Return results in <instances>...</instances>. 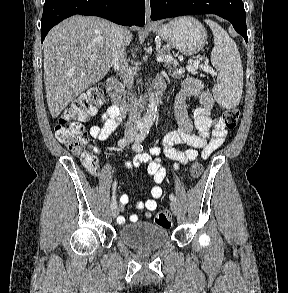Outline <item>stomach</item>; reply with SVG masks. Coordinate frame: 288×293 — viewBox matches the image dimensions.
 Wrapping results in <instances>:
<instances>
[{
  "mask_svg": "<svg viewBox=\"0 0 288 293\" xmlns=\"http://www.w3.org/2000/svg\"><path fill=\"white\" fill-rule=\"evenodd\" d=\"M164 41L185 55L198 53L207 42L204 26L193 17H179L151 27Z\"/></svg>",
  "mask_w": 288,
  "mask_h": 293,
  "instance_id": "stomach-1",
  "label": "stomach"
}]
</instances>
